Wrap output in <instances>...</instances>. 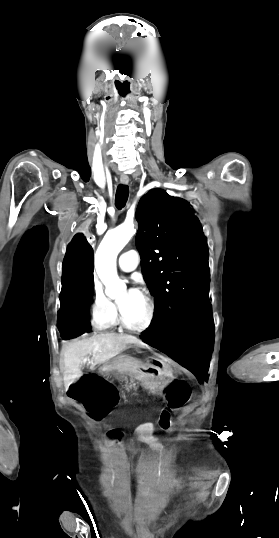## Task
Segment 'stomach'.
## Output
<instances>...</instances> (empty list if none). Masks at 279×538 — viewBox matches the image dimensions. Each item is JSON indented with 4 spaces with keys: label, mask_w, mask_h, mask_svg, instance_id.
Here are the masks:
<instances>
[{
    "label": "stomach",
    "mask_w": 279,
    "mask_h": 538,
    "mask_svg": "<svg viewBox=\"0 0 279 538\" xmlns=\"http://www.w3.org/2000/svg\"><path fill=\"white\" fill-rule=\"evenodd\" d=\"M159 385H162V382H159ZM150 391H152V393H159V390H155V386H150Z\"/></svg>",
    "instance_id": "obj_1"
}]
</instances>
